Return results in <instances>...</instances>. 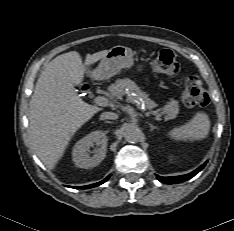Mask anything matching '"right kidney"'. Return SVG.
Here are the masks:
<instances>
[{
  "mask_svg": "<svg viewBox=\"0 0 234 231\" xmlns=\"http://www.w3.org/2000/svg\"><path fill=\"white\" fill-rule=\"evenodd\" d=\"M107 141V136L102 131H94L80 139L72 151L75 165L84 169L99 165L106 156ZM94 144L99 148L93 156H89V149Z\"/></svg>",
  "mask_w": 234,
  "mask_h": 231,
  "instance_id": "1",
  "label": "right kidney"
}]
</instances>
